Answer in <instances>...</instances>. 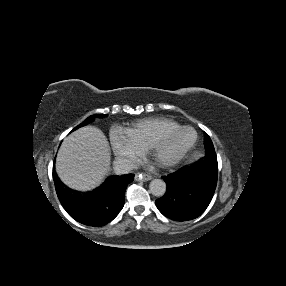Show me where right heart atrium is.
<instances>
[{"label": "right heart atrium", "instance_id": "d8ad5b80", "mask_svg": "<svg viewBox=\"0 0 286 286\" xmlns=\"http://www.w3.org/2000/svg\"><path fill=\"white\" fill-rule=\"evenodd\" d=\"M110 143L114 154L122 161L135 163L143 154L140 145L126 131L113 132Z\"/></svg>", "mask_w": 286, "mask_h": 286}]
</instances>
